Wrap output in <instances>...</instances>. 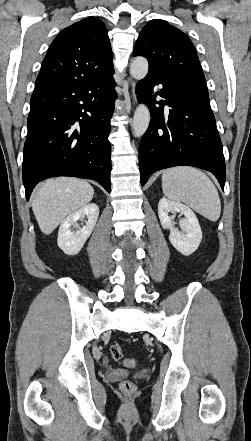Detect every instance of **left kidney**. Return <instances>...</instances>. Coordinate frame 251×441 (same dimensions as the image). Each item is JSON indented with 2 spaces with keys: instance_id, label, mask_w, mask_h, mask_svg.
Returning a JSON list of instances; mask_svg holds the SVG:
<instances>
[{
  "instance_id": "left-kidney-1",
  "label": "left kidney",
  "mask_w": 251,
  "mask_h": 441,
  "mask_svg": "<svg viewBox=\"0 0 251 441\" xmlns=\"http://www.w3.org/2000/svg\"><path fill=\"white\" fill-rule=\"evenodd\" d=\"M169 213L185 216L179 221L181 233L175 228L174 216ZM158 215L162 227L170 230L169 240L176 250L185 256L197 250L202 240V231L195 213L188 206L162 198L158 204Z\"/></svg>"
}]
</instances>
